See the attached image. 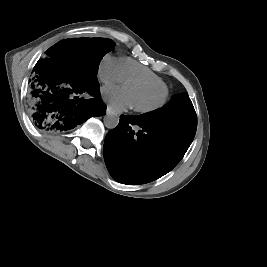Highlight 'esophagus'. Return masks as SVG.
Segmentation results:
<instances>
[{
  "instance_id": "34e87169",
  "label": "esophagus",
  "mask_w": 267,
  "mask_h": 267,
  "mask_svg": "<svg viewBox=\"0 0 267 267\" xmlns=\"http://www.w3.org/2000/svg\"><path fill=\"white\" fill-rule=\"evenodd\" d=\"M108 111L111 112V108L110 107H107V113H108Z\"/></svg>"
}]
</instances>
